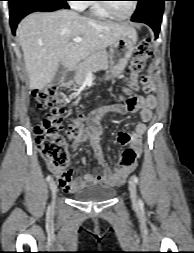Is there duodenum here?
Segmentation results:
<instances>
[{"label": "duodenum", "instance_id": "410a0bca", "mask_svg": "<svg viewBox=\"0 0 194 253\" xmlns=\"http://www.w3.org/2000/svg\"><path fill=\"white\" fill-rule=\"evenodd\" d=\"M69 80H70V76L68 73L64 74L62 79H61V82L62 84H68L69 83Z\"/></svg>", "mask_w": 194, "mask_h": 253}]
</instances>
